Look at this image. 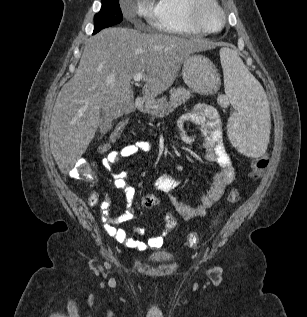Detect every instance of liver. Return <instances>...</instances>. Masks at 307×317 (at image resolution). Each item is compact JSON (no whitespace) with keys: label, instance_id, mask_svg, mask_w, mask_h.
I'll list each match as a JSON object with an SVG mask.
<instances>
[{"label":"liver","instance_id":"1","mask_svg":"<svg viewBox=\"0 0 307 317\" xmlns=\"http://www.w3.org/2000/svg\"><path fill=\"white\" fill-rule=\"evenodd\" d=\"M215 44L129 28H107L89 38L74 76L53 109L49 141L63 174L84 154L100 126V112L118 118L134 109L131 80L144 73L142 93L153 100L175 81L184 59Z\"/></svg>","mask_w":307,"mask_h":317}]
</instances>
